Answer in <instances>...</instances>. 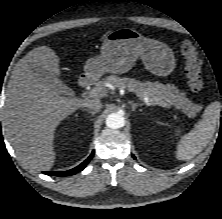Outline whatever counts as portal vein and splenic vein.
<instances>
[{"label": "portal vein and splenic vein", "instance_id": "1", "mask_svg": "<svg viewBox=\"0 0 222 219\" xmlns=\"http://www.w3.org/2000/svg\"><path fill=\"white\" fill-rule=\"evenodd\" d=\"M106 93V91H104L102 88H98V87H95L93 88L90 92H89V96L91 97H99V96H104ZM137 96L139 98H141L146 104H149L150 103V99L148 98V96H146L145 94H139V93H136ZM158 105L162 106V107H168V103L164 102V101H159L157 103Z\"/></svg>", "mask_w": 222, "mask_h": 219}]
</instances>
